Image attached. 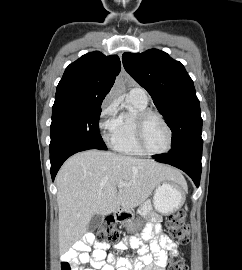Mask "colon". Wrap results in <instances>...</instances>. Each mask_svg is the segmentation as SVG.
I'll return each instance as SVG.
<instances>
[{"label": "colon", "mask_w": 242, "mask_h": 270, "mask_svg": "<svg viewBox=\"0 0 242 270\" xmlns=\"http://www.w3.org/2000/svg\"><path fill=\"white\" fill-rule=\"evenodd\" d=\"M188 210L181 208L175 211L168 220L167 228L169 236L180 244L189 242V227L186 222ZM93 239L99 243H116L119 239V230L112 217L106 219L95 232L90 233ZM169 270H189L187 264L180 259H173L169 263ZM61 270H71L69 264L61 265Z\"/></svg>", "instance_id": "5ec220e1"}]
</instances>
